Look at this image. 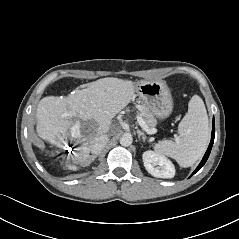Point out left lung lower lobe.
Masks as SVG:
<instances>
[{
	"label": "left lung lower lobe",
	"instance_id": "left-lung-lower-lobe-1",
	"mask_svg": "<svg viewBox=\"0 0 239 239\" xmlns=\"http://www.w3.org/2000/svg\"><path fill=\"white\" fill-rule=\"evenodd\" d=\"M214 137H215V125H214V120H213V129H212L211 142L209 144V147H208V149H207V151H206V153H205L201 163L198 165V167L195 169V171L192 173V175L195 174L205 164V162L207 161V159L209 157V154L211 152V149H212V145H213V142H214Z\"/></svg>",
	"mask_w": 239,
	"mask_h": 239
}]
</instances>
